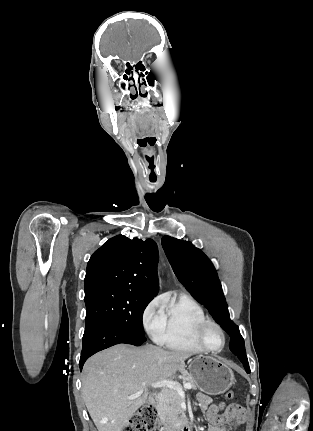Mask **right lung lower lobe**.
Masks as SVG:
<instances>
[{
  "mask_svg": "<svg viewBox=\"0 0 313 431\" xmlns=\"http://www.w3.org/2000/svg\"><path fill=\"white\" fill-rule=\"evenodd\" d=\"M145 341L144 336H138L116 324L110 322L96 323L85 329L79 362L80 370H82L85 361L98 351L119 343L140 346Z\"/></svg>",
  "mask_w": 313,
  "mask_h": 431,
  "instance_id": "right-lung-lower-lobe-1",
  "label": "right lung lower lobe"
}]
</instances>
